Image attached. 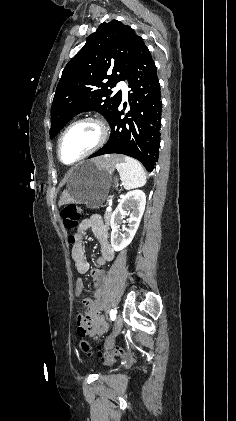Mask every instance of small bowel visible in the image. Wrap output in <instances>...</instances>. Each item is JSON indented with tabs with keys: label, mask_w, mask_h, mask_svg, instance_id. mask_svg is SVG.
Listing matches in <instances>:
<instances>
[{
	"label": "small bowel",
	"mask_w": 236,
	"mask_h": 421,
	"mask_svg": "<svg viewBox=\"0 0 236 421\" xmlns=\"http://www.w3.org/2000/svg\"><path fill=\"white\" fill-rule=\"evenodd\" d=\"M91 229L95 235V237L100 241V242H104L107 239L108 236V231L107 228L105 226V224L103 223V220L101 219L100 216L98 215H93L87 219H84L79 227H78V232L77 235L79 237V243L75 246V252L77 250H80V259H81V270L86 271L87 269V263L83 260V243H82V239H83V235L85 234V232ZM83 291V283L81 281L77 282L76 287H75V292L77 295H80ZM97 328H98V333L96 334H102L103 332H105L106 330V326L105 323L102 319H99L97 321Z\"/></svg>",
	"instance_id": "1"
}]
</instances>
